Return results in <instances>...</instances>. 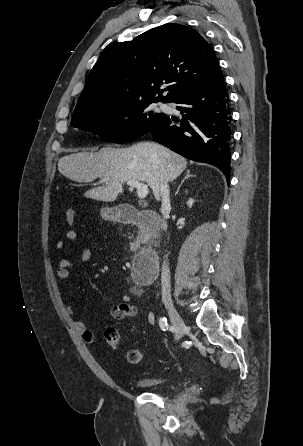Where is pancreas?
Listing matches in <instances>:
<instances>
[{
  "mask_svg": "<svg viewBox=\"0 0 303 446\" xmlns=\"http://www.w3.org/2000/svg\"><path fill=\"white\" fill-rule=\"evenodd\" d=\"M145 235L142 231H137L136 240L130 243L131 250H137L140 248V243L143 241Z\"/></svg>",
  "mask_w": 303,
  "mask_h": 446,
  "instance_id": "obj_1",
  "label": "pancreas"
}]
</instances>
